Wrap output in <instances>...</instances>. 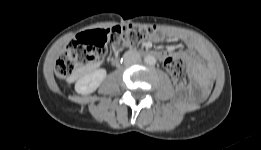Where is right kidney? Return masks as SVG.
<instances>
[{
	"label": "right kidney",
	"instance_id": "right-kidney-1",
	"mask_svg": "<svg viewBox=\"0 0 261 150\" xmlns=\"http://www.w3.org/2000/svg\"><path fill=\"white\" fill-rule=\"evenodd\" d=\"M105 69H97L82 76L75 84V90L79 94L94 92L106 77Z\"/></svg>",
	"mask_w": 261,
	"mask_h": 150
}]
</instances>
